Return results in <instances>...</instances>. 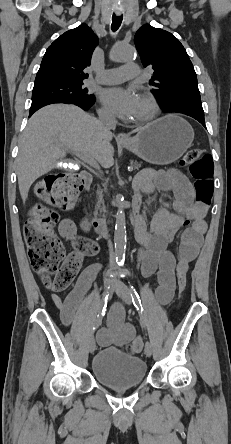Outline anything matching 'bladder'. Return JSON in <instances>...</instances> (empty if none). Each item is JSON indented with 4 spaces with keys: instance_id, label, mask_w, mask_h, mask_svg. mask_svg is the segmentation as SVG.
Instances as JSON below:
<instances>
[{
    "instance_id": "obj_1",
    "label": "bladder",
    "mask_w": 231,
    "mask_h": 444,
    "mask_svg": "<svg viewBox=\"0 0 231 444\" xmlns=\"http://www.w3.org/2000/svg\"><path fill=\"white\" fill-rule=\"evenodd\" d=\"M146 370L147 366L143 360L110 348L98 350L91 363L93 377L102 385L113 389L141 384L145 379Z\"/></svg>"
}]
</instances>
